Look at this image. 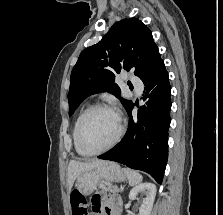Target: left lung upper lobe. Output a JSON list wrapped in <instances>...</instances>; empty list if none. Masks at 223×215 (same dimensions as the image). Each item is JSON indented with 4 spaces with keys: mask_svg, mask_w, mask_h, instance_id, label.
Masks as SVG:
<instances>
[{
    "mask_svg": "<svg viewBox=\"0 0 223 215\" xmlns=\"http://www.w3.org/2000/svg\"><path fill=\"white\" fill-rule=\"evenodd\" d=\"M162 59L152 33L142 21L131 18L116 22L102 40L84 49L71 73L68 93L69 115L89 95L108 91L120 98L114 83L122 69L142 79ZM127 109L132 101L120 98Z\"/></svg>",
    "mask_w": 223,
    "mask_h": 215,
    "instance_id": "left-lung-upper-lobe-1",
    "label": "left lung upper lobe"
}]
</instances>
